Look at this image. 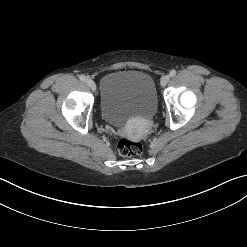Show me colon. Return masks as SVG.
<instances>
[{"label":"colon","instance_id":"obj_1","mask_svg":"<svg viewBox=\"0 0 247 247\" xmlns=\"http://www.w3.org/2000/svg\"><path fill=\"white\" fill-rule=\"evenodd\" d=\"M118 153L123 157H133L142 152V145L138 141L122 139L119 141Z\"/></svg>","mask_w":247,"mask_h":247}]
</instances>
